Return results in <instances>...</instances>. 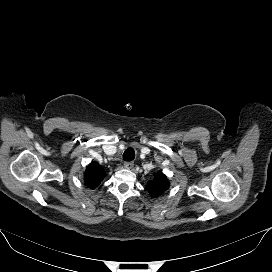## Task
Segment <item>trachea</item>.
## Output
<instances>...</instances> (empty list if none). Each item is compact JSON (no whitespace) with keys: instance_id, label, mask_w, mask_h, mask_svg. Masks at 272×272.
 <instances>
[{"instance_id":"obj_1","label":"trachea","mask_w":272,"mask_h":272,"mask_svg":"<svg viewBox=\"0 0 272 272\" xmlns=\"http://www.w3.org/2000/svg\"><path fill=\"white\" fill-rule=\"evenodd\" d=\"M134 158H135L134 150L132 148L126 149L123 154V159L127 162H130V161L134 160Z\"/></svg>"}]
</instances>
